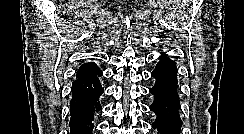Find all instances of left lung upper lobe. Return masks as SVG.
<instances>
[{
	"instance_id": "left-lung-upper-lobe-1",
	"label": "left lung upper lobe",
	"mask_w": 244,
	"mask_h": 134,
	"mask_svg": "<svg viewBox=\"0 0 244 134\" xmlns=\"http://www.w3.org/2000/svg\"><path fill=\"white\" fill-rule=\"evenodd\" d=\"M156 80L166 86L177 85V68L176 63L167 58L165 55L160 56V61L157 63L152 74Z\"/></svg>"
}]
</instances>
